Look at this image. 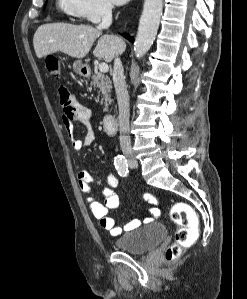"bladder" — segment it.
Segmentation results:
<instances>
[{
    "mask_svg": "<svg viewBox=\"0 0 247 299\" xmlns=\"http://www.w3.org/2000/svg\"><path fill=\"white\" fill-rule=\"evenodd\" d=\"M166 233L162 223L152 222L123 234L115 240L114 244L120 251L143 254L155 248L165 238Z\"/></svg>",
    "mask_w": 247,
    "mask_h": 299,
    "instance_id": "bladder-1",
    "label": "bladder"
}]
</instances>
